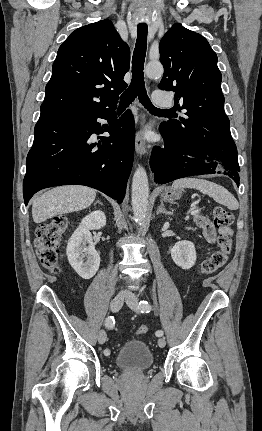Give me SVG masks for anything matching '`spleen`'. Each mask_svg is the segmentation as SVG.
Segmentation results:
<instances>
[{
  "instance_id": "obj_1",
  "label": "spleen",
  "mask_w": 262,
  "mask_h": 431,
  "mask_svg": "<svg viewBox=\"0 0 262 431\" xmlns=\"http://www.w3.org/2000/svg\"><path fill=\"white\" fill-rule=\"evenodd\" d=\"M172 188H193L212 197L229 210H237L239 207L236 198L226 188L205 179L181 178L173 182Z\"/></svg>"
}]
</instances>
